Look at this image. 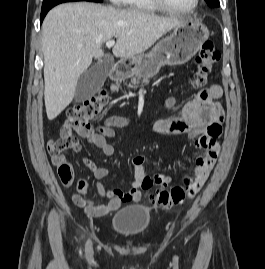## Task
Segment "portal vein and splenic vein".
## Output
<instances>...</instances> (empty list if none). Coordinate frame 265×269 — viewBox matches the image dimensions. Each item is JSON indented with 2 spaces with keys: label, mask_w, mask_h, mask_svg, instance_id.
<instances>
[{
  "label": "portal vein and splenic vein",
  "mask_w": 265,
  "mask_h": 269,
  "mask_svg": "<svg viewBox=\"0 0 265 269\" xmlns=\"http://www.w3.org/2000/svg\"><path fill=\"white\" fill-rule=\"evenodd\" d=\"M115 44V41L114 40H109L106 42V47L110 48V47H113Z\"/></svg>",
  "instance_id": "18ae733b"
}]
</instances>
